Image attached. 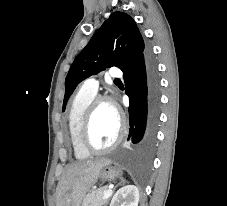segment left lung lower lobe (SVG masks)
<instances>
[{"label": "left lung lower lobe", "mask_w": 227, "mask_h": 206, "mask_svg": "<svg viewBox=\"0 0 227 206\" xmlns=\"http://www.w3.org/2000/svg\"><path fill=\"white\" fill-rule=\"evenodd\" d=\"M125 93L129 96L130 148L146 154L154 145L159 120V79L151 53L146 51L123 72Z\"/></svg>", "instance_id": "1"}]
</instances>
